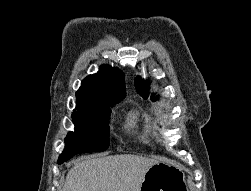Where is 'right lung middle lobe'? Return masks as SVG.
Listing matches in <instances>:
<instances>
[{"instance_id": "dd1d6c3e", "label": "right lung middle lobe", "mask_w": 251, "mask_h": 191, "mask_svg": "<svg viewBox=\"0 0 251 191\" xmlns=\"http://www.w3.org/2000/svg\"><path fill=\"white\" fill-rule=\"evenodd\" d=\"M109 106H90L72 113L75 131L65 138V148L57 161L61 164L78 153L103 151L109 146Z\"/></svg>"}]
</instances>
